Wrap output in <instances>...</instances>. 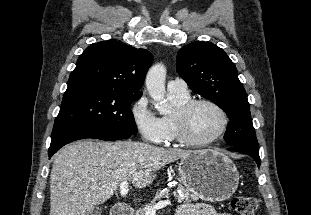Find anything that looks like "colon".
Here are the masks:
<instances>
[{"instance_id":"1","label":"colon","mask_w":311,"mask_h":215,"mask_svg":"<svg viewBox=\"0 0 311 215\" xmlns=\"http://www.w3.org/2000/svg\"><path fill=\"white\" fill-rule=\"evenodd\" d=\"M231 207L238 215H254L258 207V200L250 196H237L232 199Z\"/></svg>"}]
</instances>
